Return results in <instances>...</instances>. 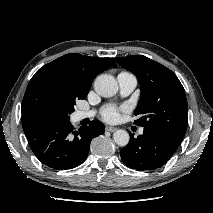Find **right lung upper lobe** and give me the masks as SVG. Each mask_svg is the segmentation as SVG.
Segmentation results:
<instances>
[{
  "mask_svg": "<svg viewBox=\"0 0 213 213\" xmlns=\"http://www.w3.org/2000/svg\"><path fill=\"white\" fill-rule=\"evenodd\" d=\"M109 67H116L111 58H97L71 53L41 67L30 81L49 78L89 92L94 78Z\"/></svg>",
  "mask_w": 213,
  "mask_h": 213,
  "instance_id": "obj_1",
  "label": "right lung upper lobe"
}]
</instances>
